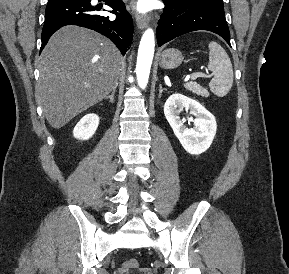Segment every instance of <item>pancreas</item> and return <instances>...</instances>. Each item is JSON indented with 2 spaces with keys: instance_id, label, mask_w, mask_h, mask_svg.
Segmentation results:
<instances>
[{
  "instance_id": "cf45deb5",
  "label": "pancreas",
  "mask_w": 289,
  "mask_h": 274,
  "mask_svg": "<svg viewBox=\"0 0 289 274\" xmlns=\"http://www.w3.org/2000/svg\"><path fill=\"white\" fill-rule=\"evenodd\" d=\"M185 88L189 91H192L193 93L202 96V97H208L209 93L206 89H204L202 86H200L197 83H187L185 84Z\"/></svg>"
}]
</instances>
